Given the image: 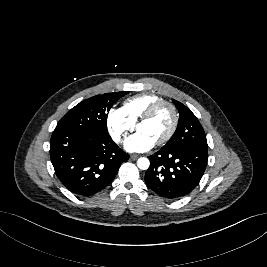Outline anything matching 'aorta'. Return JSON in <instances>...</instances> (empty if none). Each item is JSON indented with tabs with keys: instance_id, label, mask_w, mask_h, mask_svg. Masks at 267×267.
Segmentation results:
<instances>
[{
	"instance_id": "aorta-1",
	"label": "aorta",
	"mask_w": 267,
	"mask_h": 267,
	"mask_svg": "<svg viewBox=\"0 0 267 267\" xmlns=\"http://www.w3.org/2000/svg\"><path fill=\"white\" fill-rule=\"evenodd\" d=\"M137 166L141 170H147L150 166V161L146 157H141L137 160Z\"/></svg>"
}]
</instances>
